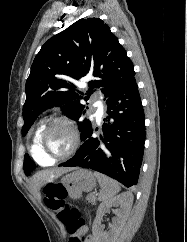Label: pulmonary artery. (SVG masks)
<instances>
[{
	"mask_svg": "<svg viewBox=\"0 0 187 242\" xmlns=\"http://www.w3.org/2000/svg\"><path fill=\"white\" fill-rule=\"evenodd\" d=\"M96 105L98 106V114H99V116H101L102 115V107L98 103Z\"/></svg>",
	"mask_w": 187,
	"mask_h": 242,
	"instance_id": "1",
	"label": "pulmonary artery"
}]
</instances>
